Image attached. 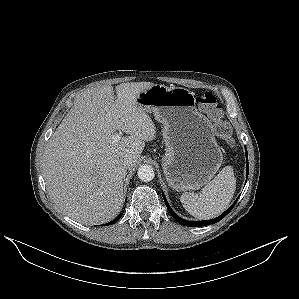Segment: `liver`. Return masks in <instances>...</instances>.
<instances>
[{
    "label": "liver",
    "mask_w": 299,
    "mask_h": 299,
    "mask_svg": "<svg viewBox=\"0 0 299 299\" xmlns=\"http://www.w3.org/2000/svg\"><path fill=\"white\" fill-rule=\"evenodd\" d=\"M151 82L122 83L85 90L48 141L42 157L43 176L55 205L68 217L88 225L114 219L124 204L121 161L133 168L155 125L137 103ZM116 131L128 136L113 143Z\"/></svg>",
    "instance_id": "obj_1"
}]
</instances>
